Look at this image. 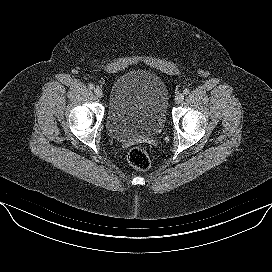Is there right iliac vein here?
<instances>
[{
    "label": "right iliac vein",
    "mask_w": 272,
    "mask_h": 272,
    "mask_svg": "<svg viewBox=\"0 0 272 272\" xmlns=\"http://www.w3.org/2000/svg\"><path fill=\"white\" fill-rule=\"evenodd\" d=\"M94 93L99 98L103 97V90L100 87H96L94 89Z\"/></svg>",
    "instance_id": "63e3f726"
}]
</instances>
